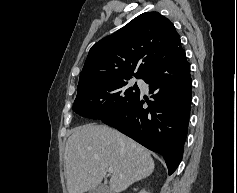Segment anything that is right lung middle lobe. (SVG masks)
Returning <instances> with one entry per match:
<instances>
[{"label": "right lung middle lobe", "instance_id": "obj_1", "mask_svg": "<svg viewBox=\"0 0 237 193\" xmlns=\"http://www.w3.org/2000/svg\"><path fill=\"white\" fill-rule=\"evenodd\" d=\"M127 80L102 82L77 91L73 111L91 119H104L120 112L140 94L137 84L130 87Z\"/></svg>", "mask_w": 237, "mask_h": 193}]
</instances>
